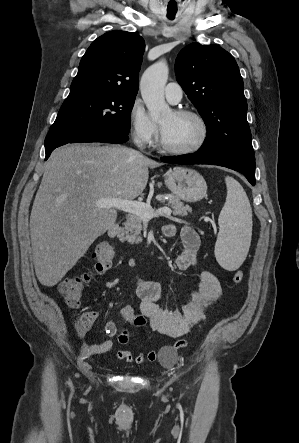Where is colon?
I'll use <instances>...</instances> for the list:
<instances>
[{
	"label": "colon",
	"mask_w": 299,
	"mask_h": 443,
	"mask_svg": "<svg viewBox=\"0 0 299 443\" xmlns=\"http://www.w3.org/2000/svg\"><path fill=\"white\" fill-rule=\"evenodd\" d=\"M115 258L116 250L114 246L108 241H102L96 246L93 252L94 265L91 270L68 276L60 282L58 292L63 297L68 308L74 309L79 307L84 286L95 274H102L107 271L112 266ZM243 279V271L238 270L234 273V283H240ZM119 316L122 323L132 328H137L140 322L137 311L131 306L123 307L119 312ZM91 324L92 318L88 313L81 315L77 320V328L80 332L88 329ZM161 359L167 363L172 362L174 352L170 348L164 349L161 352Z\"/></svg>",
	"instance_id": "obj_1"
}]
</instances>
